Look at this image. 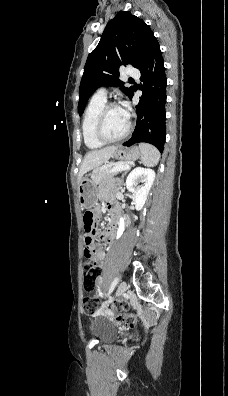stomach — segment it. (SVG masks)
Instances as JSON below:
<instances>
[{"instance_id":"0dacf381","label":"stomach","mask_w":228,"mask_h":396,"mask_svg":"<svg viewBox=\"0 0 228 396\" xmlns=\"http://www.w3.org/2000/svg\"><path fill=\"white\" fill-rule=\"evenodd\" d=\"M141 156V151L137 146L131 148H119L113 153V158L120 161H134ZM94 173V172H93ZM93 175V174H92ZM78 200L85 209L93 208L98 200L97 184L92 177L85 175L78 184Z\"/></svg>"}]
</instances>
